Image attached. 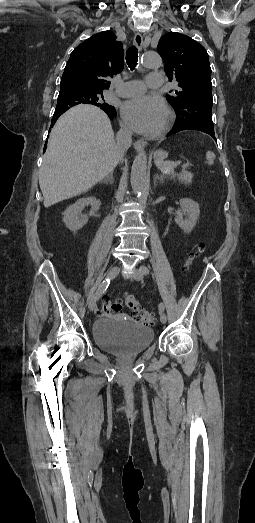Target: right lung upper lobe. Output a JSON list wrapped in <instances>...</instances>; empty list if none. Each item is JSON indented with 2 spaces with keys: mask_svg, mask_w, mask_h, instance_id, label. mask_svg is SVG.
I'll return each instance as SVG.
<instances>
[{
  "mask_svg": "<svg viewBox=\"0 0 255 523\" xmlns=\"http://www.w3.org/2000/svg\"><path fill=\"white\" fill-rule=\"evenodd\" d=\"M114 32L108 30L93 35L78 45L70 55L61 78V90L77 89L103 92L108 89L110 81L123 68L124 52L122 42L116 40ZM83 102L57 103L51 126L70 107ZM104 110L112 119L116 116L113 106L99 101L89 102Z\"/></svg>",
  "mask_w": 255,
  "mask_h": 523,
  "instance_id": "1",
  "label": "right lung upper lobe"
}]
</instances>
